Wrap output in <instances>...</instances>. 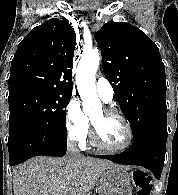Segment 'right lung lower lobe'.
<instances>
[{"label":"right lung lower lobe","instance_id":"1","mask_svg":"<svg viewBox=\"0 0 178 195\" xmlns=\"http://www.w3.org/2000/svg\"><path fill=\"white\" fill-rule=\"evenodd\" d=\"M67 149L66 130L60 125L13 126L8 137L10 165L34 156H64Z\"/></svg>","mask_w":178,"mask_h":195}]
</instances>
